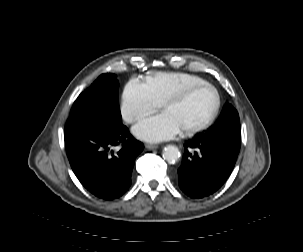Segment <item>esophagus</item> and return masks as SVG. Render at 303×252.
<instances>
[{
  "label": "esophagus",
  "mask_w": 303,
  "mask_h": 252,
  "mask_svg": "<svg viewBox=\"0 0 303 252\" xmlns=\"http://www.w3.org/2000/svg\"><path fill=\"white\" fill-rule=\"evenodd\" d=\"M145 148L148 149V150H155L158 148V145L157 144H145Z\"/></svg>",
  "instance_id": "esophagus-1"
}]
</instances>
